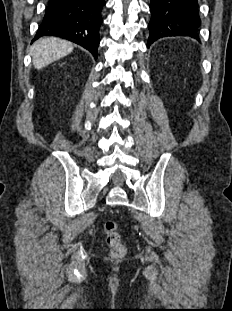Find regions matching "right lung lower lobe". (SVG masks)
Here are the masks:
<instances>
[{
	"label": "right lung lower lobe",
	"instance_id": "98d812e1",
	"mask_svg": "<svg viewBox=\"0 0 232 311\" xmlns=\"http://www.w3.org/2000/svg\"><path fill=\"white\" fill-rule=\"evenodd\" d=\"M104 5L105 0H49L34 40L58 36L81 45L96 57Z\"/></svg>",
	"mask_w": 232,
	"mask_h": 311
}]
</instances>
